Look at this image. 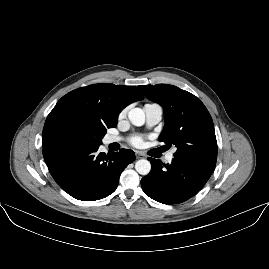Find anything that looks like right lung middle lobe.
Wrapping results in <instances>:
<instances>
[{
	"instance_id": "dd1d6c3e",
	"label": "right lung middle lobe",
	"mask_w": 269,
	"mask_h": 269,
	"mask_svg": "<svg viewBox=\"0 0 269 269\" xmlns=\"http://www.w3.org/2000/svg\"><path fill=\"white\" fill-rule=\"evenodd\" d=\"M59 131L64 141L72 140L80 144L95 145L101 144L107 129L93 120L65 119L60 123Z\"/></svg>"
}]
</instances>
